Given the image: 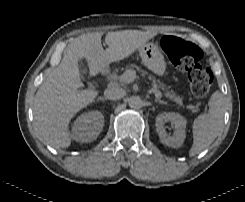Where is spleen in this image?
<instances>
[{"mask_svg": "<svg viewBox=\"0 0 245 202\" xmlns=\"http://www.w3.org/2000/svg\"><path fill=\"white\" fill-rule=\"evenodd\" d=\"M209 111L206 115L198 116L193 123V145L189 151L195 156L210 146L219 135L224 119V100L219 91H215L208 102Z\"/></svg>", "mask_w": 245, "mask_h": 202, "instance_id": "1", "label": "spleen"}]
</instances>
